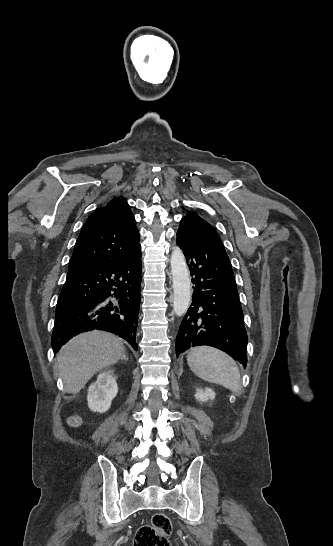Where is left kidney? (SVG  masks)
<instances>
[{
    "mask_svg": "<svg viewBox=\"0 0 333 546\" xmlns=\"http://www.w3.org/2000/svg\"><path fill=\"white\" fill-rule=\"evenodd\" d=\"M195 397L199 402H206L208 399L215 397V392L210 388H206L205 390L198 389Z\"/></svg>",
    "mask_w": 333,
    "mask_h": 546,
    "instance_id": "5707ae66",
    "label": "left kidney"
}]
</instances>
